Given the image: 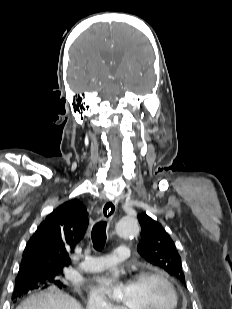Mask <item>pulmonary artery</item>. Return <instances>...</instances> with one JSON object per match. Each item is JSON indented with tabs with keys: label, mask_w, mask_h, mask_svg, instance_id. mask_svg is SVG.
I'll use <instances>...</instances> for the list:
<instances>
[{
	"label": "pulmonary artery",
	"mask_w": 232,
	"mask_h": 309,
	"mask_svg": "<svg viewBox=\"0 0 232 309\" xmlns=\"http://www.w3.org/2000/svg\"><path fill=\"white\" fill-rule=\"evenodd\" d=\"M130 250L126 246H118L112 254H105L100 257H85L78 268L85 272H98L114 266L117 262L128 260Z\"/></svg>",
	"instance_id": "pulmonary-artery-1"
}]
</instances>
